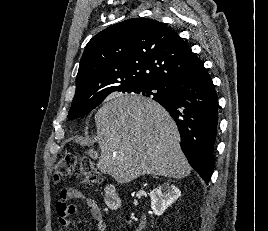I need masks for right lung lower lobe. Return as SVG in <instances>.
I'll use <instances>...</instances> for the list:
<instances>
[{
    "label": "right lung lower lobe",
    "mask_w": 268,
    "mask_h": 231,
    "mask_svg": "<svg viewBox=\"0 0 268 231\" xmlns=\"http://www.w3.org/2000/svg\"><path fill=\"white\" fill-rule=\"evenodd\" d=\"M157 98L176 122L180 146L190 165L208 184L214 166V144L218 125V98L207 70L165 87Z\"/></svg>",
    "instance_id": "1"
}]
</instances>
